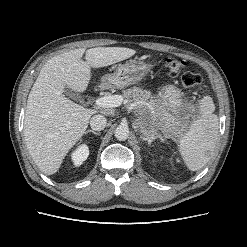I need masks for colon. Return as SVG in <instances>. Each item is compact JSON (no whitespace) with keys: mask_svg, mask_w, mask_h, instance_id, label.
<instances>
[{"mask_svg":"<svg viewBox=\"0 0 247 247\" xmlns=\"http://www.w3.org/2000/svg\"><path fill=\"white\" fill-rule=\"evenodd\" d=\"M165 65L169 75L172 77H177L185 69L186 62L178 58H169L166 60ZM181 82L185 88H192L202 82V77L197 73L185 72L181 77Z\"/></svg>","mask_w":247,"mask_h":247,"instance_id":"colon-1","label":"colon"}]
</instances>
